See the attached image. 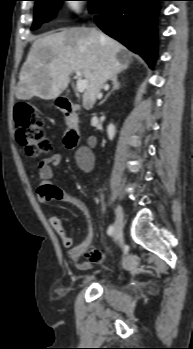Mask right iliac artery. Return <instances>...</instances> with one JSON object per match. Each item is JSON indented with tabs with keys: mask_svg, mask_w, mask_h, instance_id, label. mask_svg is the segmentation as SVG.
Instances as JSON below:
<instances>
[{
	"mask_svg": "<svg viewBox=\"0 0 193 349\" xmlns=\"http://www.w3.org/2000/svg\"><path fill=\"white\" fill-rule=\"evenodd\" d=\"M113 232H114V225H111V226H109L107 233H108V235H112Z\"/></svg>",
	"mask_w": 193,
	"mask_h": 349,
	"instance_id": "82829eb1",
	"label": "right iliac artery"
}]
</instances>
